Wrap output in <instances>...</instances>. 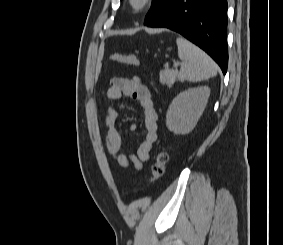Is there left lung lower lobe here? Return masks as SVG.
<instances>
[{
	"mask_svg": "<svg viewBox=\"0 0 283 245\" xmlns=\"http://www.w3.org/2000/svg\"><path fill=\"white\" fill-rule=\"evenodd\" d=\"M146 25L180 33L208 53L226 74L227 0H173Z\"/></svg>",
	"mask_w": 283,
	"mask_h": 245,
	"instance_id": "obj_1",
	"label": "left lung lower lobe"
}]
</instances>
